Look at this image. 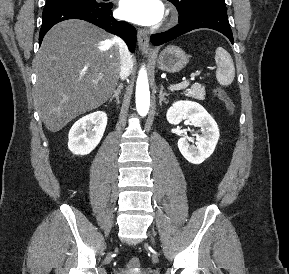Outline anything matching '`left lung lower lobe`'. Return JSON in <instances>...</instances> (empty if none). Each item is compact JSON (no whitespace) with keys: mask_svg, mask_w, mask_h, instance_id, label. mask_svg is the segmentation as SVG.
<instances>
[{"mask_svg":"<svg viewBox=\"0 0 289 274\" xmlns=\"http://www.w3.org/2000/svg\"><path fill=\"white\" fill-rule=\"evenodd\" d=\"M198 28H210L224 34L233 44V35L229 25L227 13L222 12H202L191 18L179 22L177 26L165 33L154 34L151 36L153 45L158 46L168 42L178 36Z\"/></svg>","mask_w":289,"mask_h":274,"instance_id":"obj_1","label":"left lung lower lobe"}]
</instances>
